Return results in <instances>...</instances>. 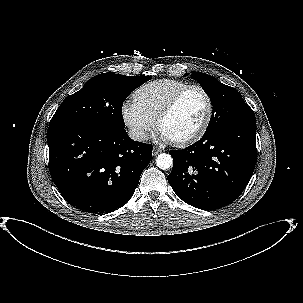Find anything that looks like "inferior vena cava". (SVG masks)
Returning <instances> with one entry per match:
<instances>
[{"instance_id": "602c4592", "label": "inferior vena cava", "mask_w": 303, "mask_h": 303, "mask_svg": "<svg viewBox=\"0 0 303 303\" xmlns=\"http://www.w3.org/2000/svg\"><path fill=\"white\" fill-rule=\"evenodd\" d=\"M128 134H129V137L135 141L142 142V141H145L148 139L147 133L140 129H136V128L130 129L128 131Z\"/></svg>"}]
</instances>
